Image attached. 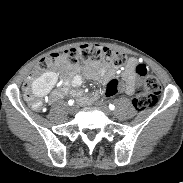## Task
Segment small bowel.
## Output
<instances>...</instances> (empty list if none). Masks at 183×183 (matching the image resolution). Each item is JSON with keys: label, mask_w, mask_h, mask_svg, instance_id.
Segmentation results:
<instances>
[{"label": "small bowel", "mask_w": 183, "mask_h": 183, "mask_svg": "<svg viewBox=\"0 0 183 183\" xmlns=\"http://www.w3.org/2000/svg\"><path fill=\"white\" fill-rule=\"evenodd\" d=\"M137 65V61L135 59H130L125 68L122 71V75L124 78V83H120V91L125 92L128 95L134 93L136 86L138 84L139 75L135 71V67ZM116 70L112 67L105 65H97L92 70L86 71L85 75L97 82L107 83L110 82L111 79L115 76ZM84 81V74L75 75L69 84L63 83L53 94L51 97L52 101H56L64 97L67 93L70 92V88L76 89L79 88ZM108 82V83H109Z\"/></svg>", "instance_id": "c3829d8e"}]
</instances>
